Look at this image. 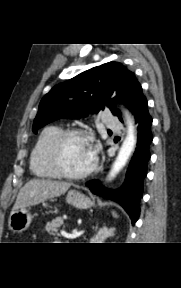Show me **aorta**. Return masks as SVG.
<instances>
[{
  "label": "aorta",
  "mask_w": 181,
  "mask_h": 288,
  "mask_svg": "<svg viewBox=\"0 0 181 288\" xmlns=\"http://www.w3.org/2000/svg\"><path fill=\"white\" fill-rule=\"evenodd\" d=\"M127 122H128V130L127 136L122 143V146L118 152V155L111 167V170L108 175V179H113L126 165L129 157L131 156L132 152L134 151L136 145V136L134 132V126L130 117L127 115Z\"/></svg>",
  "instance_id": "1"
}]
</instances>
